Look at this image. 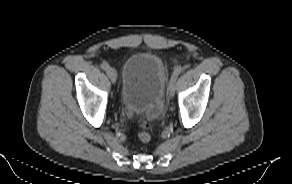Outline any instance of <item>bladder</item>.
<instances>
[{
    "label": "bladder",
    "instance_id": "1",
    "mask_svg": "<svg viewBox=\"0 0 292 184\" xmlns=\"http://www.w3.org/2000/svg\"><path fill=\"white\" fill-rule=\"evenodd\" d=\"M166 80L167 68L156 54L131 55L122 71L120 101L123 108L150 120L157 119L162 112Z\"/></svg>",
    "mask_w": 292,
    "mask_h": 184
}]
</instances>
